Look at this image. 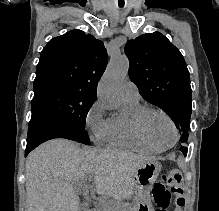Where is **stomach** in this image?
Instances as JSON below:
<instances>
[{"instance_id": "0dacf381", "label": "stomach", "mask_w": 219, "mask_h": 211, "mask_svg": "<svg viewBox=\"0 0 219 211\" xmlns=\"http://www.w3.org/2000/svg\"><path fill=\"white\" fill-rule=\"evenodd\" d=\"M162 165L157 161H151L136 170L133 180L137 191V204L134 211H154L149 202L148 193L156 181Z\"/></svg>"}]
</instances>
